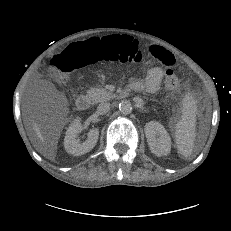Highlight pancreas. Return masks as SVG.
Wrapping results in <instances>:
<instances>
[{
    "label": "pancreas",
    "instance_id": "pancreas-1",
    "mask_svg": "<svg viewBox=\"0 0 231 231\" xmlns=\"http://www.w3.org/2000/svg\"><path fill=\"white\" fill-rule=\"evenodd\" d=\"M87 95L93 103L107 101L115 97L114 93L106 90L105 88H90L87 91Z\"/></svg>",
    "mask_w": 231,
    "mask_h": 231
}]
</instances>
